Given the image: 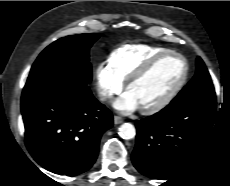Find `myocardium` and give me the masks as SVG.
Returning a JSON list of instances; mask_svg holds the SVG:
<instances>
[{
  "label": "myocardium",
  "instance_id": "f54148a6",
  "mask_svg": "<svg viewBox=\"0 0 230 186\" xmlns=\"http://www.w3.org/2000/svg\"><path fill=\"white\" fill-rule=\"evenodd\" d=\"M168 56H176L183 61L184 73L181 79L179 80V82L161 100L154 103L153 105L141 108V112L144 114L149 115V114H154V113L161 111L166 106H168L174 100V98L178 95V93L181 91V89L186 84L188 77H189L190 67H189V63L187 59L182 54L176 51H173V50H167V51L161 52L159 54L154 55L150 59H148L138 70H136L126 80L125 88L126 90H128V88L133 83H135L136 81H138L139 79L147 75L157 62H159L160 60Z\"/></svg>",
  "mask_w": 230,
  "mask_h": 186
}]
</instances>
